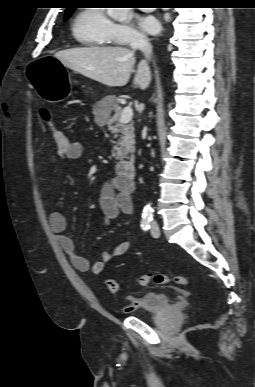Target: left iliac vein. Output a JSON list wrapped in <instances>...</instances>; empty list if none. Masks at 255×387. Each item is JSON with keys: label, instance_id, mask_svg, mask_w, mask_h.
<instances>
[{"label": "left iliac vein", "instance_id": "4c4485c4", "mask_svg": "<svg viewBox=\"0 0 255 387\" xmlns=\"http://www.w3.org/2000/svg\"><path fill=\"white\" fill-rule=\"evenodd\" d=\"M151 235L155 238L159 237L160 235V230H159V227L157 225V223H152V226H151Z\"/></svg>", "mask_w": 255, "mask_h": 387}]
</instances>
